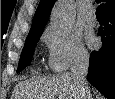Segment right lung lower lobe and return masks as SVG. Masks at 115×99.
Listing matches in <instances>:
<instances>
[{
	"label": "right lung lower lobe",
	"instance_id": "1",
	"mask_svg": "<svg viewBox=\"0 0 115 99\" xmlns=\"http://www.w3.org/2000/svg\"><path fill=\"white\" fill-rule=\"evenodd\" d=\"M105 25L98 35L102 47L89 60L88 81L108 99H115V8L104 13Z\"/></svg>",
	"mask_w": 115,
	"mask_h": 99
}]
</instances>
